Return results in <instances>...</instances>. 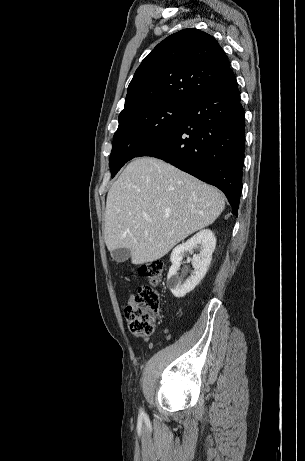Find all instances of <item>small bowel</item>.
I'll list each match as a JSON object with an SVG mask.
<instances>
[{
    "instance_id": "c3829d8e",
    "label": "small bowel",
    "mask_w": 305,
    "mask_h": 461,
    "mask_svg": "<svg viewBox=\"0 0 305 461\" xmlns=\"http://www.w3.org/2000/svg\"><path fill=\"white\" fill-rule=\"evenodd\" d=\"M132 299H133V297H132V296H130L128 303H129V302H130Z\"/></svg>"
}]
</instances>
